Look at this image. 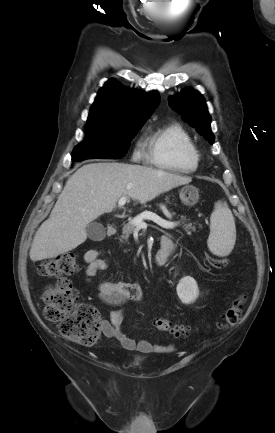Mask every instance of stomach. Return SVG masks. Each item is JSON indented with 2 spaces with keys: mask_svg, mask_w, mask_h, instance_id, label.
I'll list each match as a JSON object with an SVG mask.
<instances>
[{
  "mask_svg": "<svg viewBox=\"0 0 275 433\" xmlns=\"http://www.w3.org/2000/svg\"><path fill=\"white\" fill-rule=\"evenodd\" d=\"M179 197L186 206H193L199 200V191L192 185H186L179 191Z\"/></svg>",
  "mask_w": 275,
  "mask_h": 433,
  "instance_id": "stomach-1",
  "label": "stomach"
}]
</instances>
